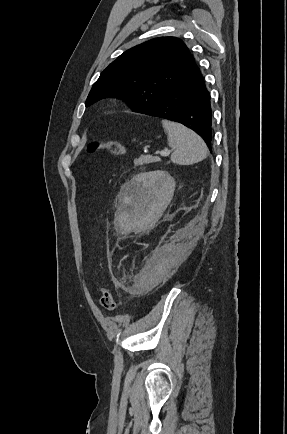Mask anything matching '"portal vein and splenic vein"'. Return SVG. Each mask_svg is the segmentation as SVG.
<instances>
[{
    "instance_id": "18ae733b",
    "label": "portal vein and splenic vein",
    "mask_w": 287,
    "mask_h": 434,
    "mask_svg": "<svg viewBox=\"0 0 287 434\" xmlns=\"http://www.w3.org/2000/svg\"><path fill=\"white\" fill-rule=\"evenodd\" d=\"M161 156H168L171 153V150H161L157 152Z\"/></svg>"
}]
</instances>
